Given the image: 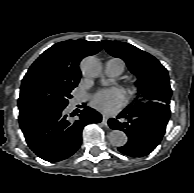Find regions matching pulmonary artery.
Masks as SVG:
<instances>
[{
	"label": "pulmonary artery",
	"instance_id": "pulmonary-artery-1",
	"mask_svg": "<svg viewBox=\"0 0 194 193\" xmlns=\"http://www.w3.org/2000/svg\"><path fill=\"white\" fill-rule=\"evenodd\" d=\"M124 70V63L120 59H110L105 63L104 72L108 77L119 76Z\"/></svg>",
	"mask_w": 194,
	"mask_h": 193
}]
</instances>
